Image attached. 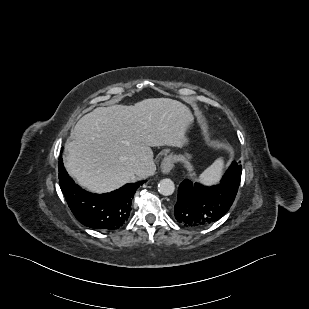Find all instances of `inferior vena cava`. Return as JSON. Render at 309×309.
Returning a JSON list of instances; mask_svg holds the SVG:
<instances>
[{
  "instance_id": "602c4592",
  "label": "inferior vena cava",
  "mask_w": 309,
  "mask_h": 309,
  "mask_svg": "<svg viewBox=\"0 0 309 309\" xmlns=\"http://www.w3.org/2000/svg\"><path fill=\"white\" fill-rule=\"evenodd\" d=\"M134 171L136 174H140L142 172V164L136 160H134Z\"/></svg>"
}]
</instances>
